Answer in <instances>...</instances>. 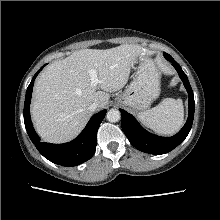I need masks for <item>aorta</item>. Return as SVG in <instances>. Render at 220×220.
<instances>
[{
  "instance_id": "obj_1",
  "label": "aorta",
  "mask_w": 220,
  "mask_h": 220,
  "mask_svg": "<svg viewBox=\"0 0 220 220\" xmlns=\"http://www.w3.org/2000/svg\"><path fill=\"white\" fill-rule=\"evenodd\" d=\"M106 118L109 122H118L121 118V113L117 109H110L106 114Z\"/></svg>"
}]
</instances>
